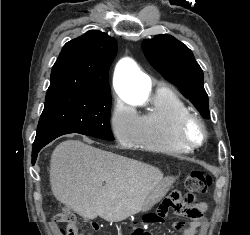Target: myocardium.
I'll return each mask as SVG.
<instances>
[{
  "mask_svg": "<svg viewBox=\"0 0 250 235\" xmlns=\"http://www.w3.org/2000/svg\"><path fill=\"white\" fill-rule=\"evenodd\" d=\"M191 125H196L200 129L201 136L199 140L192 141L188 136V129ZM178 142L188 150H196L203 146L207 140V129L203 120L196 114L188 113L182 116L176 125L175 130Z\"/></svg>",
  "mask_w": 250,
  "mask_h": 235,
  "instance_id": "1",
  "label": "myocardium"
}]
</instances>
